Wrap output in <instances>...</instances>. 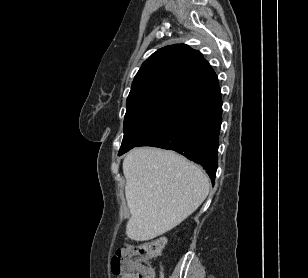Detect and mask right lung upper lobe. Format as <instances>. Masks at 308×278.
I'll use <instances>...</instances> for the list:
<instances>
[{
	"instance_id": "right-lung-upper-lobe-1",
	"label": "right lung upper lobe",
	"mask_w": 308,
	"mask_h": 278,
	"mask_svg": "<svg viewBox=\"0 0 308 278\" xmlns=\"http://www.w3.org/2000/svg\"><path fill=\"white\" fill-rule=\"evenodd\" d=\"M218 78L199 51L185 44L163 47L141 66L127 98L125 118L146 112H180L218 91Z\"/></svg>"
}]
</instances>
